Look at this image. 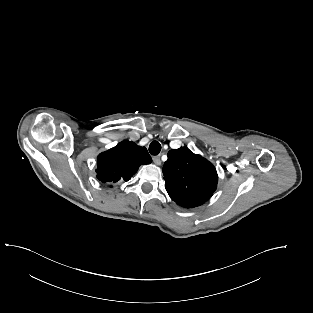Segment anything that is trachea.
Returning <instances> with one entry per match:
<instances>
[{
    "mask_svg": "<svg viewBox=\"0 0 313 313\" xmlns=\"http://www.w3.org/2000/svg\"><path fill=\"white\" fill-rule=\"evenodd\" d=\"M161 151V144L158 141H152L149 145L151 155H158Z\"/></svg>",
    "mask_w": 313,
    "mask_h": 313,
    "instance_id": "1",
    "label": "trachea"
}]
</instances>
